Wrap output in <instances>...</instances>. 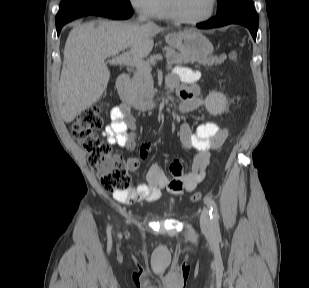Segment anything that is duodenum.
Segmentation results:
<instances>
[{"mask_svg":"<svg viewBox=\"0 0 309 288\" xmlns=\"http://www.w3.org/2000/svg\"><path fill=\"white\" fill-rule=\"evenodd\" d=\"M130 78L127 74H120L116 80V88L124 105H132L134 102L133 95L129 89ZM160 103V99L151 98L146 100L143 104L146 108L151 109Z\"/></svg>","mask_w":309,"mask_h":288,"instance_id":"1","label":"duodenum"}]
</instances>
